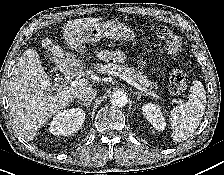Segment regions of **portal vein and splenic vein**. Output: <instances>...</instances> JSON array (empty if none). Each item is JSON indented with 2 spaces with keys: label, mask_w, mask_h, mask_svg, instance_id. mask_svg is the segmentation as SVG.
Segmentation results:
<instances>
[{
  "label": "portal vein and splenic vein",
  "mask_w": 224,
  "mask_h": 175,
  "mask_svg": "<svg viewBox=\"0 0 224 175\" xmlns=\"http://www.w3.org/2000/svg\"><path fill=\"white\" fill-rule=\"evenodd\" d=\"M115 75L119 76L121 79L125 80L127 83H129L130 85L134 86L135 88H137L138 90H141L142 92L147 93L148 95L153 96L154 98L163 100L164 99L162 97H160L159 95H157L154 91H150L149 89H147L146 87L141 86L140 84H138L137 82L133 81L132 79H130L129 77L116 73ZM88 80L86 79H79V80H75V81H71L70 82V86L72 87H76V86H81L85 83H87ZM180 104L182 103V100L177 101Z\"/></svg>",
  "instance_id": "obj_1"
}]
</instances>
